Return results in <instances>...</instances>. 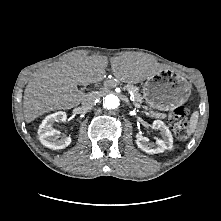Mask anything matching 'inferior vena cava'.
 Returning <instances> with one entry per match:
<instances>
[{
  "label": "inferior vena cava",
  "instance_id": "1",
  "mask_svg": "<svg viewBox=\"0 0 221 221\" xmlns=\"http://www.w3.org/2000/svg\"><path fill=\"white\" fill-rule=\"evenodd\" d=\"M96 96L94 94H88L82 101V107L85 111H89L95 105Z\"/></svg>",
  "mask_w": 221,
  "mask_h": 221
}]
</instances>
